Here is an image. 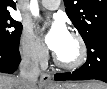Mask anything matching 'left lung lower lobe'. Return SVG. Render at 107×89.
Returning <instances> with one entry per match:
<instances>
[{
	"label": "left lung lower lobe",
	"mask_w": 107,
	"mask_h": 89,
	"mask_svg": "<svg viewBox=\"0 0 107 89\" xmlns=\"http://www.w3.org/2000/svg\"><path fill=\"white\" fill-rule=\"evenodd\" d=\"M88 59L76 71L55 74L56 81L97 79L107 83V32L96 35L85 43Z\"/></svg>",
	"instance_id": "obj_1"
}]
</instances>
